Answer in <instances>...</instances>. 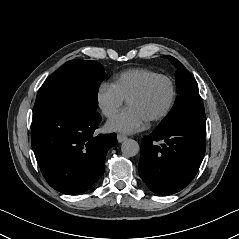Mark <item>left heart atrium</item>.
I'll return each instance as SVG.
<instances>
[{"instance_id":"obj_1","label":"left heart atrium","mask_w":239,"mask_h":239,"mask_svg":"<svg viewBox=\"0 0 239 239\" xmlns=\"http://www.w3.org/2000/svg\"><path fill=\"white\" fill-rule=\"evenodd\" d=\"M146 120L133 107H126L108 122V129L123 133H133L142 130Z\"/></svg>"}]
</instances>
